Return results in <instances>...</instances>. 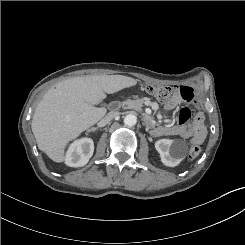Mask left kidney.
<instances>
[{"instance_id": "1", "label": "left kidney", "mask_w": 245, "mask_h": 245, "mask_svg": "<svg viewBox=\"0 0 245 245\" xmlns=\"http://www.w3.org/2000/svg\"><path fill=\"white\" fill-rule=\"evenodd\" d=\"M155 148L160 154L161 162L168 167L178 166L186 152L181 143L165 138L157 140Z\"/></svg>"}]
</instances>
